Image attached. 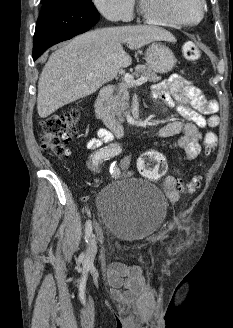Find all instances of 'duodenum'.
Returning <instances> with one entry per match:
<instances>
[{"label": "duodenum", "instance_id": "obj_1", "mask_svg": "<svg viewBox=\"0 0 233 328\" xmlns=\"http://www.w3.org/2000/svg\"><path fill=\"white\" fill-rule=\"evenodd\" d=\"M112 93V86H107L100 90L94 105L95 115L110 130L119 135L122 130V123L114 118L108 109V101Z\"/></svg>", "mask_w": 233, "mask_h": 328}]
</instances>
